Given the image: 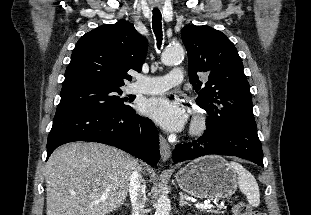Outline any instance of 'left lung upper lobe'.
<instances>
[{
	"label": "left lung upper lobe",
	"mask_w": 311,
	"mask_h": 215,
	"mask_svg": "<svg viewBox=\"0 0 311 215\" xmlns=\"http://www.w3.org/2000/svg\"><path fill=\"white\" fill-rule=\"evenodd\" d=\"M181 37L188 52L189 81L198 94L197 104L209 114L207 124L254 119L242 60L227 36L209 26L187 25Z\"/></svg>",
	"instance_id": "1"
}]
</instances>
